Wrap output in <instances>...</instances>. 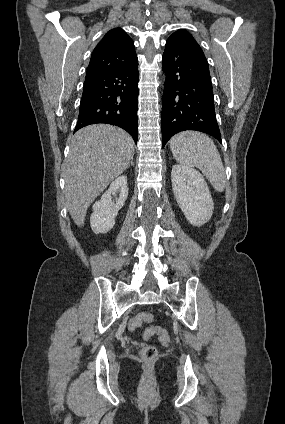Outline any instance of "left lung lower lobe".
Returning <instances> with one entry per match:
<instances>
[{"label": "left lung lower lobe", "mask_w": 285, "mask_h": 424, "mask_svg": "<svg viewBox=\"0 0 285 424\" xmlns=\"http://www.w3.org/2000/svg\"><path fill=\"white\" fill-rule=\"evenodd\" d=\"M166 72L161 113L162 147L178 132L196 130L221 142L208 62L197 43L168 39L162 56Z\"/></svg>", "instance_id": "0a47b994"}]
</instances>
